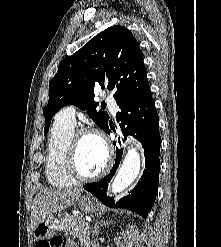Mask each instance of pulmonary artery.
Returning a JSON list of instances; mask_svg holds the SVG:
<instances>
[{"instance_id":"e3ab8cb5","label":"pulmonary artery","mask_w":221,"mask_h":247,"mask_svg":"<svg viewBox=\"0 0 221 247\" xmlns=\"http://www.w3.org/2000/svg\"><path fill=\"white\" fill-rule=\"evenodd\" d=\"M105 99H106L108 105L113 108V113H115L116 109H117V105H116L115 101L113 100L112 96L107 94V95H105ZM75 115H76L75 106H67L58 113L57 119L64 124H67V125L74 127L76 124Z\"/></svg>"}]
</instances>
